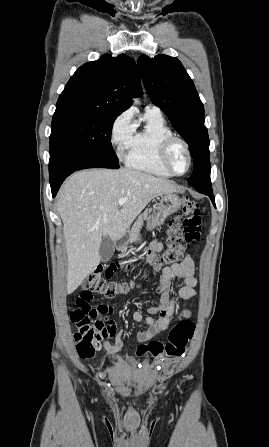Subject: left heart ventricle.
<instances>
[{"instance_id": "1", "label": "left heart ventricle", "mask_w": 269, "mask_h": 447, "mask_svg": "<svg viewBox=\"0 0 269 447\" xmlns=\"http://www.w3.org/2000/svg\"><path fill=\"white\" fill-rule=\"evenodd\" d=\"M171 162L174 169L178 172H183L187 169L188 156L185 149L180 144L174 146L171 153Z\"/></svg>"}]
</instances>
